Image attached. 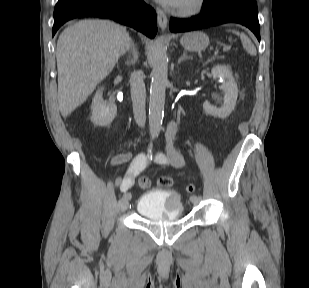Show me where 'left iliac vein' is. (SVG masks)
<instances>
[{
    "label": "left iliac vein",
    "instance_id": "4c4485c4",
    "mask_svg": "<svg viewBox=\"0 0 309 288\" xmlns=\"http://www.w3.org/2000/svg\"><path fill=\"white\" fill-rule=\"evenodd\" d=\"M191 202H192L194 205H197V204H199L200 199H199V198H196V199H194V200H191Z\"/></svg>",
    "mask_w": 309,
    "mask_h": 288
}]
</instances>
